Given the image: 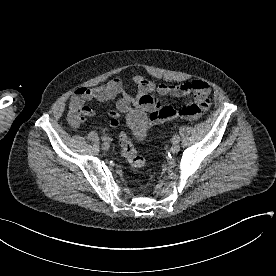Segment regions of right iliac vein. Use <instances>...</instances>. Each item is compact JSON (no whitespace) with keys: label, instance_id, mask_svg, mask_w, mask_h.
Instances as JSON below:
<instances>
[{"label":"right iliac vein","instance_id":"obj_1","mask_svg":"<svg viewBox=\"0 0 276 276\" xmlns=\"http://www.w3.org/2000/svg\"><path fill=\"white\" fill-rule=\"evenodd\" d=\"M109 147H110V144H109L108 141H104V142L102 143V149H103V150L107 151V150L109 149Z\"/></svg>","mask_w":276,"mask_h":276}]
</instances>
